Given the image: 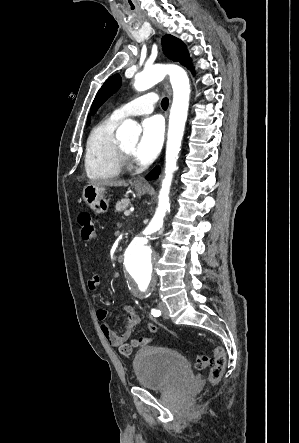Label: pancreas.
Here are the masks:
<instances>
[{"label": "pancreas", "mask_w": 299, "mask_h": 443, "mask_svg": "<svg viewBox=\"0 0 299 443\" xmlns=\"http://www.w3.org/2000/svg\"><path fill=\"white\" fill-rule=\"evenodd\" d=\"M130 204L131 202L129 199H123L116 203L115 210L116 212L124 211Z\"/></svg>", "instance_id": "cf45deb5"}]
</instances>
